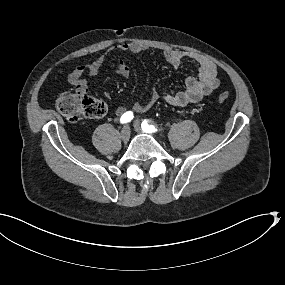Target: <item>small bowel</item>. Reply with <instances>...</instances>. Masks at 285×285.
Here are the masks:
<instances>
[{"label": "small bowel", "instance_id": "small-bowel-1", "mask_svg": "<svg viewBox=\"0 0 285 285\" xmlns=\"http://www.w3.org/2000/svg\"><path fill=\"white\" fill-rule=\"evenodd\" d=\"M120 51L130 52L138 55L143 53L146 48L136 42H123L116 47ZM164 57L168 63L174 67H179L184 60L188 59L194 62L198 67L196 76H188L185 79V86L182 90L161 95L157 90H153L149 98L145 102H138L133 106V110L142 113L150 109L158 100L163 99L167 103L177 107H183L191 103L200 101L204 96L209 95L218 88L220 81L216 65L207 57L187 51L166 50ZM106 59V54H102L92 62L77 67L69 76V83L76 89L87 91L86 75L97 74ZM117 72L123 77L129 76L130 70L128 66L120 61L117 65ZM106 97H110V93L105 92ZM126 109L122 106L116 109L117 115H123Z\"/></svg>", "mask_w": 285, "mask_h": 285}]
</instances>
